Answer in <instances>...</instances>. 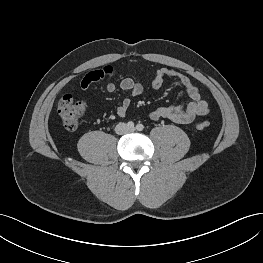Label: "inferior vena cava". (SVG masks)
I'll list each match as a JSON object with an SVG mask.
<instances>
[{
    "instance_id": "obj_1",
    "label": "inferior vena cava",
    "mask_w": 263,
    "mask_h": 263,
    "mask_svg": "<svg viewBox=\"0 0 263 263\" xmlns=\"http://www.w3.org/2000/svg\"><path fill=\"white\" fill-rule=\"evenodd\" d=\"M115 131L117 134H125L127 132L130 131V129L127 127V125L125 123H119L116 128H115Z\"/></svg>"
}]
</instances>
